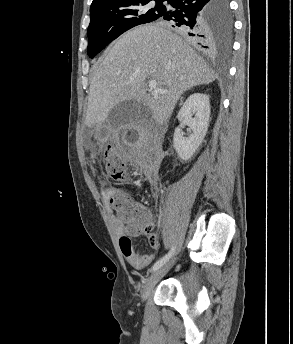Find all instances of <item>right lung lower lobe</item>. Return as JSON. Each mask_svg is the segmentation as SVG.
<instances>
[{
    "instance_id": "98d812e1",
    "label": "right lung lower lobe",
    "mask_w": 293,
    "mask_h": 344,
    "mask_svg": "<svg viewBox=\"0 0 293 344\" xmlns=\"http://www.w3.org/2000/svg\"><path fill=\"white\" fill-rule=\"evenodd\" d=\"M174 11H167L160 21H169L170 26L178 30L200 48L211 50L214 44L216 28L213 21L216 0H167ZM232 29L230 34V44ZM229 44V46H230Z\"/></svg>"
}]
</instances>
